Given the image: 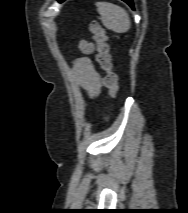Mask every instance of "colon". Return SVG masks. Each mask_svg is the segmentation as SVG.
I'll return each instance as SVG.
<instances>
[{"label": "colon", "instance_id": "obj_1", "mask_svg": "<svg viewBox=\"0 0 188 213\" xmlns=\"http://www.w3.org/2000/svg\"><path fill=\"white\" fill-rule=\"evenodd\" d=\"M90 31L93 34L94 40L97 44V62L104 72L105 86L108 88L112 97H116L119 92L118 77L112 70L111 57L109 53V46L107 43V33L103 27L93 21L90 25Z\"/></svg>", "mask_w": 188, "mask_h": 213}]
</instances>
